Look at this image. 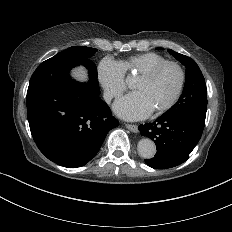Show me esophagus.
Segmentation results:
<instances>
[{
  "label": "esophagus",
  "mask_w": 232,
  "mask_h": 232,
  "mask_svg": "<svg viewBox=\"0 0 232 232\" xmlns=\"http://www.w3.org/2000/svg\"><path fill=\"white\" fill-rule=\"evenodd\" d=\"M125 126L134 133L138 132V126L136 124H126Z\"/></svg>",
  "instance_id": "1"
}]
</instances>
